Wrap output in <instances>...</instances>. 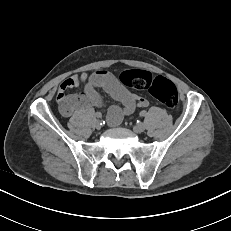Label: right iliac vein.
<instances>
[{
  "instance_id": "1",
  "label": "right iliac vein",
  "mask_w": 231,
  "mask_h": 231,
  "mask_svg": "<svg viewBox=\"0 0 231 231\" xmlns=\"http://www.w3.org/2000/svg\"><path fill=\"white\" fill-rule=\"evenodd\" d=\"M94 125H95L96 129H98V130L101 129V122L99 120H95Z\"/></svg>"
}]
</instances>
